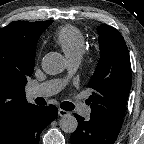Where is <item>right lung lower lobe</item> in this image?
I'll return each mask as SVG.
<instances>
[{"label": "right lung lower lobe", "mask_w": 144, "mask_h": 144, "mask_svg": "<svg viewBox=\"0 0 144 144\" xmlns=\"http://www.w3.org/2000/svg\"><path fill=\"white\" fill-rule=\"evenodd\" d=\"M57 112L54 105H32L0 144H39L40 133L56 118Z\"/></svg>", "instance_id": "obj_1"}]
</instances>
